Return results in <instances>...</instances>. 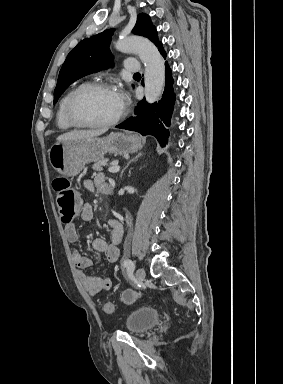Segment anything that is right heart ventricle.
I'll list each match as a JSON object with an SVG mask.
<instances>
[{
    "label": "right heart ventricle",
    "instance_id": "1",
    "mask_svg": "<svg viewBox=\"0 0 283 384\" xmlns=\"http://www.w3.org/2000/svg\"><path fill=\"white\" fill-rule=\"evenodd\" d=\"M80 86H82V85H78L76 87L71 88L59 100V103H58L57 109H56V124H57V127L62 131H70L73 129V127L70 126V124L66 120L65 108H66L67 101H68L69 97L71 96V94L76 89H78Z\"/></svg>",
    "mask_w": 283,
    "mask_h": 384
}]
</instances>
